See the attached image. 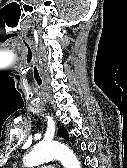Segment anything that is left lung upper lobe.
Returning a JSON list of instances; mask_svg holds the SVG:
<instances>
[{
	"label": "left lung upper lobe",
	"instance_id": "1",
	"mask_svg": "<svg viewBox=\"0 0 127 168\" xmlns=\"http://www.w3.org/2000/svg\"><path fill=\"white\" fill-rule=\"evenodd\" d=\"M57 134L61 136L62 138L69 140V134L65 128L59 129Z\"/></svg>",
	"mask_w": 127,
	"mask_h": 168
}]
</instances>
